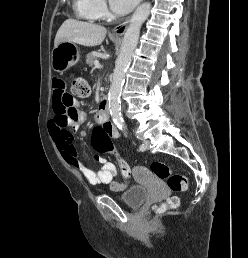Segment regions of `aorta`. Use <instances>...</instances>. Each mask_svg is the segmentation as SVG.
Listing matches in <instances>:
<instances>
[{
    "mask_svg": "<svg viewBox=\"0 0 248 258\" xmlns=\"http://www.w3.org/2000/svg\"><path fill=\"white\" fill-rule=\"evenodd\" d=\"M151 10L150 3L140 5L130 20V24L123 37L120 54L113 72L112 82L108 94L109 110L118 128H124L121 115L120 96L126 71L131 63L133 52L138 44L140 29L148 18Z\"/></svg>",
    "mask_w": 248,
    "mask_h": 258,
    "instance_id": "1",
    "label": "aorta"
}]
</instances>
